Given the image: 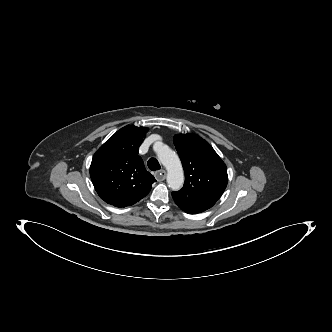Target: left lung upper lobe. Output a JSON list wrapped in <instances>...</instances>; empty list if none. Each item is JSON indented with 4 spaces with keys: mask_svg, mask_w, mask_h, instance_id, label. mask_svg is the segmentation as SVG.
<instances>
[{
    "mask_svg": "<svg viewBox=\"0 0 332 332\" xmlns=\"http://www.w3.org/2000/svg\"><path fill=\"white\" fill-rule=\"evenodd\" d=\"M174 144L184 168L185 182L181 190L172 192V197L184 210L204 212L224 192L227 167L210 144L197 135H176Z\"/></svg>",
    "mask_w": 332,
    "mask_h": 332,
    "instance_id": "obj_1",
    "label": "left lung upper lobe"
}]
</instances>
